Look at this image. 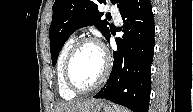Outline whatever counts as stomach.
I'll return each instance as SVG.
<instances>
[{"mask_svg":"<svg viewBox=\"0 0 193 112\" xmlns=\"http://www.w3.org/2000/svg\"><path fill=\"white\" fill-rule=\"evenodd\" d=\"M85 112H115V110L107 103L98 100L92 105L90 109Z\"/></svg>","mask_w":193,"mask_h":112,"instance_id":"obj_1","label":"stomach"}]
</instances>
